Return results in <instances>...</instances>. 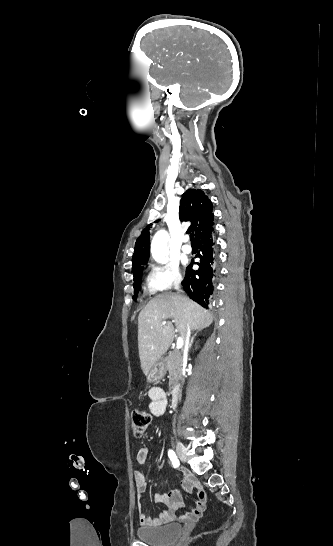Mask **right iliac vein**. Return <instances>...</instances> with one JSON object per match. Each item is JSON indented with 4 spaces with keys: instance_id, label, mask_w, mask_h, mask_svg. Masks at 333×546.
<instances>
[{
    "instance_id": "right-iliac-vein-1",
    "label": "right iliac vein",
    "mask_w": 333,
    "mask_h": 546,
    "mask_svg": "<svg viewBox=\"0 0 333 546\" xmlns=\"http://www.w3.org/2000/svg\"><path fill=\"white\" fill-rule=\"evenodd\" d=\"M176 452H177V455L179 456V458L182 460V461H185L186 460V448L185 446L180 442V441H177L176 442Z\"/></svg>"
}]
</instances>
